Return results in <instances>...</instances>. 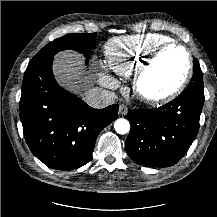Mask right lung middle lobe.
I'll use <instances>...</instances> for the list:
<instances>
[{
  "label": "right lung middle lobe",
  "mask_w": 217,
  "mask_h": 217,
  "mask_svg": "<svg viewBox=\"0 0 217 217\" xmlns=\"http://www.w3.org/2000/svg\"><path fill=\"white\" fill-rule=\"evenodd\" d=\"M96 33L68 34L55 39L43 47L30 61L28 67L34 66L48 58L53 57L57 52L65 49H73L85 54L88 62V53L91 44L96 39Z\"/></svg>",
  "instance_id": "right-lung-middle-lobe-1"
}]
</instances>
